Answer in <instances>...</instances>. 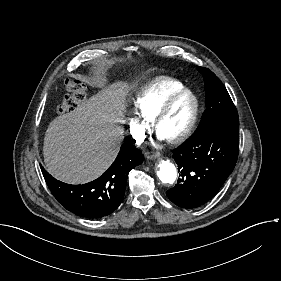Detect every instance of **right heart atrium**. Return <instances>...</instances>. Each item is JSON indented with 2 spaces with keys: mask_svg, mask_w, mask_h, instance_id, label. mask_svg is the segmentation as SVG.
<instances>
[{
  "mask_svg": "<svg viewBox=\"0 0 281 281\" xmlns=\"http://www.w3.org/2000/svg\"><path fill=\"white\" fill-rule=\"evenodd\" d=\"M128 121H129V125H130V132H131L132 138L136 142L142 141V139L144 138V130L141 127H139L138 125H136L131 118H128Z\"/></svg>",
  "mask_w": 281,
  "mask_h": 281,
  "instance_id": "obj_1",
  "label": "right heart atrium"
}]
</instances>
